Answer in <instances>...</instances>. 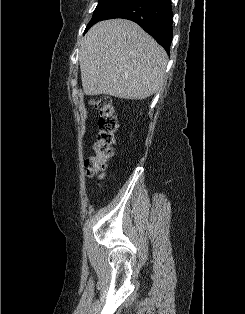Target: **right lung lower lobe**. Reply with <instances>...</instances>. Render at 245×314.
<instances>
[{
    "label": "right lung lower lobe",
    "mask_w": 245,
    "mask_h": 314,
    "mask_svg": "<svg viewBox=\"0 0 245 314\" xmlns=\"http://www.w3.org/2000/svg\"><path fill=\"white\" fill-rule=\"evenodd\" d=\"M123 18L139 24L169 52L172 41L171 0H127L103 20Z\"/></svg>",
    "instance_id": "1"
}]
</instances>
